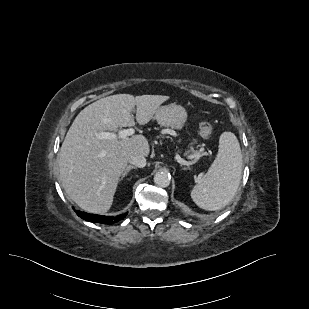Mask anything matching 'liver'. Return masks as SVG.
<instances>
[{"instance_id":"1","label":"liver","mask_w":309,"mask_h":309,"mask_svg":"<svg viewBox=\"0 0 309 309\" xmlns=\"http://www.w3.org/2000/svg\"><path fill=\"white\" fill-rule=\"evenodd\" d=\"M163 95L116 94L97 100L75 118L59 153V173L67 195L80 208L91 213L107 212L113 202L119 177L134 154L148 156V140L143 135L130 138L99 139L102 132L147 124L161 104Z\"/></svg>"}]
</instances>
